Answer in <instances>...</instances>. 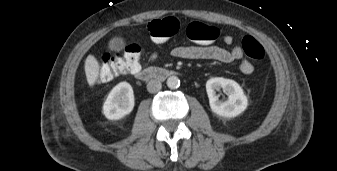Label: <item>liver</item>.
<instances>
[{"instance_id":"obj_1","label":"liver","mask_w":337,"mask_h":171,"mask_svg":"<svg viewBox=\"0 0 337 171\" xmlns=\"http://www.w3.org/2000/svg\"><path fill=\"white\" fill-rule=\"evenodd\" d=\"M100 65L97 59L93 55H89L85 60V73L87 82L90 86H93L99 76Z\"/></svg>"}]
</instances>
